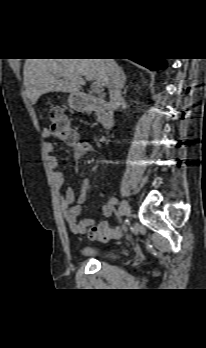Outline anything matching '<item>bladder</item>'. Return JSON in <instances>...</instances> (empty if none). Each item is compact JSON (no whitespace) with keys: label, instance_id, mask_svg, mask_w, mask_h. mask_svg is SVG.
Masks as SVG:
<instances>
[{"label":"bladder","instance_id":"obj_1","mask_svg":"<svg viewBox=\"0 0 206 348\" xmlns=\"http://www.w3.org/2000/svg\"><path fill=\"white\" fill-rule=\"evenodd\" d=\"M116 251L112 249H97L94 247H82L79 254L85 258H95L97 256H108L115 254Z\"/></svg>","mask_w":206,"mask_h":348}]
</instances>
